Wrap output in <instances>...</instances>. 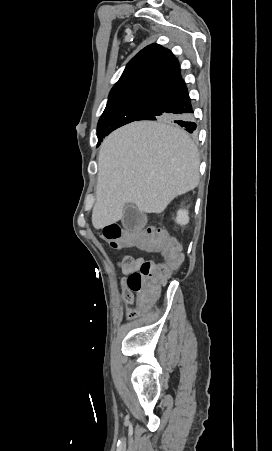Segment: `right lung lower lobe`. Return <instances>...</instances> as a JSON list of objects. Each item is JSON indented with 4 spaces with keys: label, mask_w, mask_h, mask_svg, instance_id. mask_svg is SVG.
<instances>
[{
    "label": "right lung lower lobe",
    "mask_w": 272,
    "mask_h": 451,
    "mask_svg": "<svg viewBox=\"0 0 272 451\" xmlns=\"http://www.w3.org/2000/svg\"><path fill=\"white\" fill-rule=\"evenodd\" d=\"M193 113L187 87L179 74L150 98L148 109L136 120L171 121L192 133L196 130Z\"/></svg>",
    "instance_id": "right-lung-lower-lobe-1"
}]
</instances>
